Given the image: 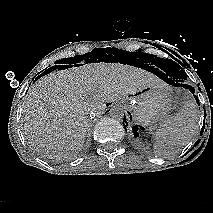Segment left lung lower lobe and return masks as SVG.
I'll use <instances>...</instances> for the list:
<instances>
[{"mask_svg":"<svg viewBox=\"0 0 213 213\" xmlns=\"http://www.w3.org/2000/svg\"><path fill=\"white\" fill-rule=\"evenodd\" d=\"M156 74L162 79L164 80L165 82H167L168 84H172L173 86H176V87H184V88H187L189 89L193 94H194V88L192 86H189L187 84H184V83H180V82H177L175 80H173V78H171L169 76V74H167L166 72H163V71H159L158 69H156ZM195 99L197 101V103L199 104V100L198 98L195 96ZM125 116V114H124ZM124 122H126V117H124ZM124 125V124H123ZM125 126V125H124ZM134 132H136L135 130V127H134ZM135 135V134H134Z\"/></svg>","mask_w":213,"mask_h":213,"instance_id":"1","label":"left lung lower lobe"}]
</instances>
